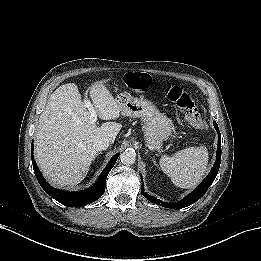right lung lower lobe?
Wrapping results in <instances>:
<instances>
[{
  "label": "right lung lower lobe",
  "mask_w": 261,
  "mask_h": 261,
  "mask_svg": "<svg viewBox=\"0 0 261 261\" xmlns=\"http://www.w3.org/2000/svg\"><path fill=\"white\" fill-rule=\"evenodd\" d=\"M33 143H32V152H33ZM119 157V153L114 155L113 158L110 160L109 164L106 166V168L103 170L101 176L99 177V180L95 183V185L89 189H86L81 192H66V191H60L53 187H51L43 178L41 173L38 170V167L36 165L35 160L32 156V164L34 173L37 177L38 182L40 183L41 187L45 190L47 194H49L52 198L57 200L58 202L64 204L68 207H81L84 205H87L89 203H92L93 201L97 200L99 197H101L105 191V185H106V178L112 169V167L115 165L116 160Z\"/></svg>",
  "instance_id": "obj_1"
}]
</instances>
